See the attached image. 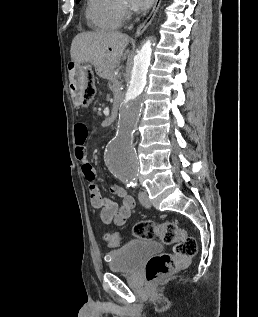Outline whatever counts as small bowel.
Instances as JSON below:
<instances>
[{"label": "small bowel", "mask_w": 258, "mask_h": 317, "mask_svg": "<svg viewBox=\"0 0 258 317\" xmlns=\"http://www.w3.org/2000/svg\"><path fill=\"white\" fill-rule=\"evenodd\" d=\"M88 134V128L84 123H77L75 125L74 139L76 144V157L81 163L84 178L89 182L91 205L95 209L100 210L99 217L102 223L122 226L131 215V212L135 207V200L117 184L111 185L110 191L121 197L122 202L120 205L101 194L99 187L95 184V170L90 164L87 156L86 140Z\"/></svg>", "instance_id": "c3829d8e"}]
</instances>
